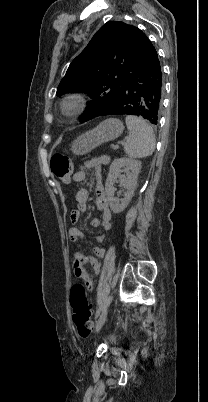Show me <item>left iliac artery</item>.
Segmentation results:
<instances>
[{
	"mask_svg": "<svg viewBox=\"0 0 208 402\" xmlns=\"http://www.w3.org/2000/svg\"><path fill=\"white\" fill-rule=\"evenodd\" d=\"M99 314H100V310L98 309L96 314H95V318H98Z\"/></svg>",
	"mask_w": 208,
	"mask_h": 402,
	"instance_id": "obj_1",
	"label": "left iliac artery"
}]
</instances>
